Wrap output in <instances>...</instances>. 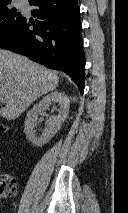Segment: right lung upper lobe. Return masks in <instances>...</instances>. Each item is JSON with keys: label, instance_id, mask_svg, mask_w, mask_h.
Returning a JSON list of instances; mask_svg holds the SVG:
<instances>
[{"label": "right lung upper lobe", "instance_id": "cb5924a9", "mask_svg": "<svg viewBox=\"0 0 128 213\" xmlns=\"http://www.w3.org/2000/svg\"><path fill=\"white\" fill-rule=\"evenodd\" d=\"M12 0H0V6L8 5L11 3ZM29 2L33 0H28Z\"/></svg>", "mask_w": 128, "mask_h": 213}]
</instances>
